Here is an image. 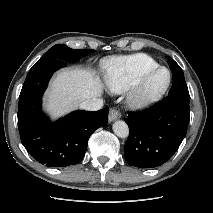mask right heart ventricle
Segmentation results:
<instances>
[{
	"mask_svg": "<svg viewBox=\"0 0 213 213\" xmlns=\"http://www.w3.org/2000/svg\"><path fill=\"white\" fill-rule=\"evenodd\" d=\"M158 66V62L146 54L112 58L104 63L105 83L112 92L124 93Z\"/></svg>",
	"mask_w": 213,
	"mask_h": 213,
	"instance_id": "obj_1",
	"label": "right heart ventricle"
}]
</instances>
